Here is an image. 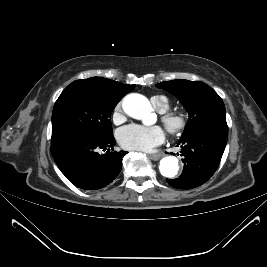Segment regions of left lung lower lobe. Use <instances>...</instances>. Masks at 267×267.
Instances as JSON below:
<instances>
[{
	"label": "left lung lower lobe",
	"mask_w": 267,
	"mask_h": 267,
	"mask_svg": "<svg viewBox=\"0 0 267 267\" xmlns=\"http://www.w3.org/2000/svg\"><path fill=\"white\" fill-rule=\"evenodd\" d=\"M228 132L205 131L179 141L184 156L183 172L177 179H166L175 188L191 189L204 184L216 171L223 155Z\"/></svg>",
	"instance_id": "obj_1"
}]
</instances>
